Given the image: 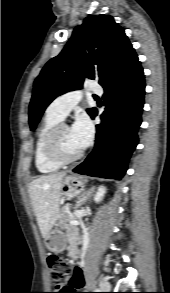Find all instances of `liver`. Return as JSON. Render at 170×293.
<instances>
[{
    "label": "liver",
    "mask_w": 170,
    "mask_h": 293,
    "mask_svg": "<svg viewBox=\"0 0 170 293\" xmlns=\"http://www.w3.org/2000/svg\"><path fill=\"white\" fill-rule=\"evenodd\" d=\"M65 176L66 172L44 175L29 184V196L43 238L58 218L61 187Z\"/></svg>",
    "instance_id": "6515ba94"
}]
</instances>
